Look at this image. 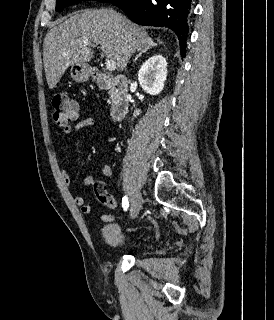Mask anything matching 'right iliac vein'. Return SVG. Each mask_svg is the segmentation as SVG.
I'll return each instance as SVG.
<instances>
[{
    "label": "right iliac vein",
    "mask_w": 274,
    "mask_h": 320,
    "mask_svg": "<svg viewBox=\"0 0 274 320\" xmlns=\"http://www.w3.org/2000/svg\"><path fill=\"white\" fill-rule=\"evenodd\" d=\"M141 207H142V197L140 193H137L132 198L131 207H130V217L132 219H134L138 215Z\"/></svg>",
    "instance_id": "right-iliac-vein-1"
}]
</instances>
